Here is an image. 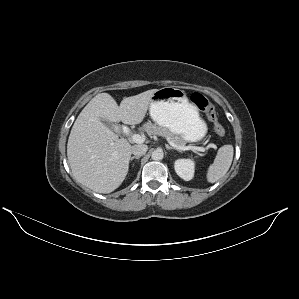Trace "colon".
<instances>
[{"instance_id":"obj_1","label":"colon","mask_w":299,"mask_h":299,"mask_svg":"<svg viewBox=\"0 0 299 299\" xmlns=\"http://www.w3.org/2000/svg\"><path fill=\"white\" fill-rule=\"evenodd\" d=\"M191 101L200 111L206 114L210 122L213 124L216 133L219 136H224L226 129L220 123L216 110L211 102L203 94L198 92L191 95Z\"/></svg>"}]
</instances>
